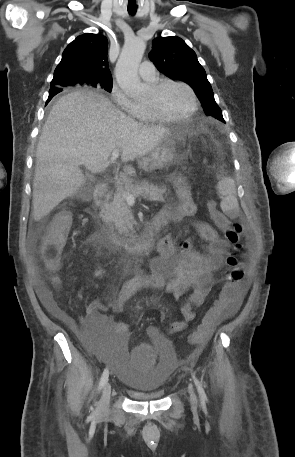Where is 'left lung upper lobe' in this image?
<instances>
[{"label":"left lung upper lobe","mask_w":295,"mask_h":457,"mask_svg":"<svg viewBox=\"0 0 295 457\" xmlns=\"http://www.w3.org/2000/svg\"><path fill=\"white\" fill-rule=\"evenodd\" d=\"M149 57L165 76L185 82L194 89L206 115L225 122L204 68L183 39L175 36L155 38Z\"/></svg>","instance_id":"5c2ea615"}]
</instances>
